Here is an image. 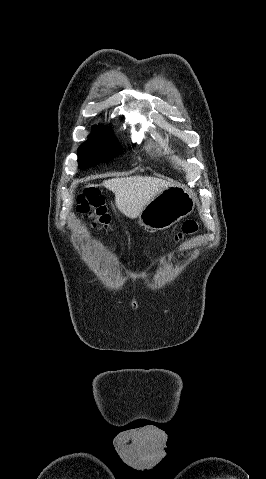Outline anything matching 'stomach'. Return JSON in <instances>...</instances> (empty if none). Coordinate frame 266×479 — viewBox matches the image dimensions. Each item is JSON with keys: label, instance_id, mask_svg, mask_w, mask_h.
Returning <instances> with one entry per match:
<instances>
[{"label": "stomach", "instance_id": "obj_1", "mask_svg": "<svg viewBox=\"0 0 266 479\" xmlns=\"http://www.w3.org/2000/svg\"><path fill=\"white\" fill-rule=\"evenodd\" d=\"M196 199L192 192L173 185L153 198L138 215L139 223L151 230L167 229L190 215Z\"/></svg>", "mask_w": 266, "mask_h": 479}]
</instances>
